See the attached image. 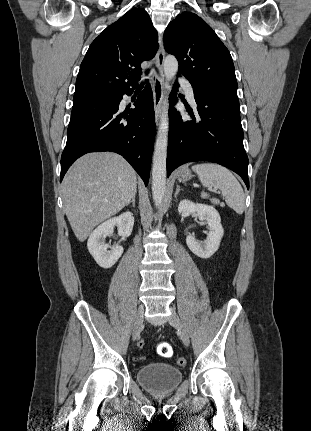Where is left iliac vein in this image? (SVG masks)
Masks as SVG:
<instances>
[{"instance_id":"obj_1","label":"left iliac vein","mask_w":311,"mask_h":431,"mask_svg":"<svg viewBox=\"0 0 311 431\" xmlns=\"http://www.w3.org/2000/svg\"><path fill=\"white\" fill-rule=\"evenodd\" d=\"M168 321L171 326H173L175 329L178 330L181 340L186 346H188L190 343L188 332L184 327L183 323L181 322L179 316L175 312V310L171 309V315Z\"/></svg>"}]
</instances>
